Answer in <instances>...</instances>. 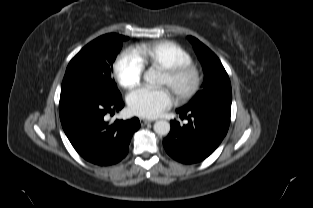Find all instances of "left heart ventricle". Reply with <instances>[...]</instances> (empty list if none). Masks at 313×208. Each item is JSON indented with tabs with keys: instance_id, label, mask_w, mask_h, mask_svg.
<instances>
[{
	"instance_id": "left-heart-ventricle-1",
	"label": "left heart ventricle",
	"mask_w": 313,
	"mask_h": 208,
	"mask_svg": "<svg viewBox=\"0 0 313 208\" xmlns=\"http://www.w3.org/2000/svg\"><path fill=\"white\" fill-rule=\"evenodd\" d=\"M162 83L167 84V77L165 76V74H163Z\"/></svg>"
}]
</instances>
